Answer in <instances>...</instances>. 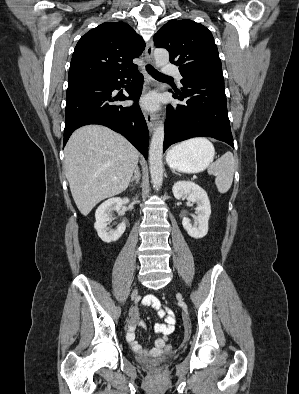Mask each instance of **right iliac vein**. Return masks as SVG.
<instances>
[{
    "instance_id": "right-iliac-vein-1",
    "label": "right iliac vein",
    "mask_w": 299,
    "mask_h": 394,
    "mask_svg": "<svg viewBox=\"0 0 299 394\" xmlns=\"http://www.w3.org/2000/svg\"><path fill=\"white\" fill-rule=\"evenodd\" d=\"M136 295H137V288L133 290L131 297L134 298Z\"/></svg>"
}]
</instances>
